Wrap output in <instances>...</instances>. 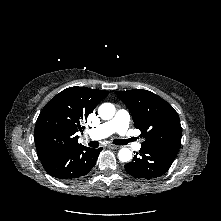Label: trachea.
<instances>
[{
  "label": "trachea",
  "instance_id": "3493384b",
  "mask_svg": "<svg viewBox=\"0 0 221 221\" xmlns=\"http://www.w3.org/2000/svg\"><path fill=\"white\" fill-rule=\"evenodd\" d=\"M113 143L116 145H126L128 143V140L115 139V140H113ZM89 146L93 147V148H97L99 146V143L97 141H90Z\"/></svg>",
  "mask_w": 221,
  "mask_h": 221
}]
</instances>
